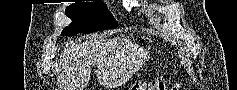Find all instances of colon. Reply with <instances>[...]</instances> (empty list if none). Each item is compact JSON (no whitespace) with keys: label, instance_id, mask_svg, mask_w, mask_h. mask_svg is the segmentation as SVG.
I'll return each mask as SVG.
<instances>
[{"label":"colon","instance_id":"obj_1","mask_svg":"<svg viewBox=\"0 0 237 90\" xmlns=\"http://www.w3.org/2000/svg\"><path fill=\"white\" fill-rule=\"evenodd\" d=\"M167 84L163 79L150 82H138L131 86L130 90H167ZM175 89V88H174Z\"/></svg>","mask_w":237,"mask_h":90}]
</instances>
